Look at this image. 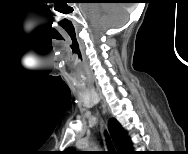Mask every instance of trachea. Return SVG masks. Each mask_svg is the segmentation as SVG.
I'll use <instances>...</instances> for the list:
<instances>
[{
  "label": "trachea",
  "mask_w": 188,
  "mask_h": 154,
  "mask_svg": "<svg viewBox=\"0 0 188 154\" xmlns=\"http://www.w3.org/2000/svg\"><path fill=\"white\" fill-rule=\"evenodd\" d=\"M106 141H107V146H108V151H107V153L108 154H114V152H115V150H114V147H113V145H112V143H111V141H110V138H109V136L106 134Z\"/></svg>",
  "instance_id": "1"
}]
</instances>
